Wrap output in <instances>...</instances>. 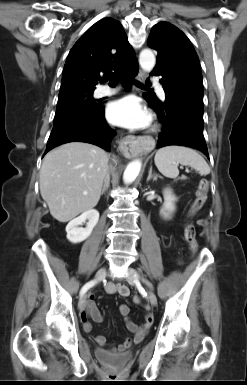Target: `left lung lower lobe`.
<instances>
[{
  "mask_svg": "<svg viewBox=\"0 0 247 385\" xmlns=\"http://www.w3.org/2000/svg\"><path fill=\"white\" fill-rule=\"evenodd\" d=\"M151 74L162 76L160 83L166 95L165 102L146 98L163 124L157 146H188L209 156L203 136V99L185 91L162 69H154Z\"/></svg>",
  "mask_w": 247,
  "mask_h": 385,
  "instance_id": "1",
  "label": "left lung lower lobe"
}]
</instances>
